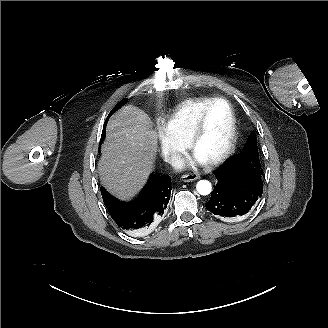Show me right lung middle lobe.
Instances as JSON below:
<instances>
[{
    "instance_id": "right-lung-middle-lobe-1",
    "label": "right lung middle lobe",
    "mask_w": 328,
    "mask_h": 328,
    "mask_svg": "<svg viewBox=\"0 0 328 328\" xmlns=\"http://www.w3.org/2000/svg\"><path fill=\"white\" fill-rule=\"evenodd\" d=\"M126 100L127 99H123V100H121L113 109H112V111L109 113V115H108V117H107V119H106V122H105V124H104V126H103V131H102V135H101V140H100V144L103 142V140H104V138H105V127H106V123H107V121H108V119H109V117L116 111V110H118L121 106H123L124 104H125V102H126ZM99 151H100V146H99Z\"/></svg>"
}]
</instances>
